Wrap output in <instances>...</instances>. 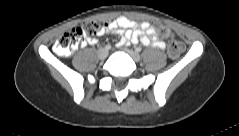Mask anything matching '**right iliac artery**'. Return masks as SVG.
Listing matches in <instances>:
<instances>
[{"label":"right iliac artery","mask_w":239,"mask_h":136,"mask_svg":"<svg viewBox=\"0 0 239 136\" xmlns=\"http://www.w3.org/2000/svg\"><path fill=\"white\" fill-rule=\"evenodd\" d=\"M105 49H107V50L111 49V45H109V44L106 45V46H105Z\"/></svg>","instance_id":"82829eb1"}]
</instances>
